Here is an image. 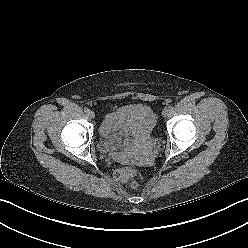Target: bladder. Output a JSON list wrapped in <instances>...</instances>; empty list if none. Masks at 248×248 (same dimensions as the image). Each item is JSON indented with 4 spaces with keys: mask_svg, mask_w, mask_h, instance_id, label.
I'll use <instances>...</instances> for the list:
<instances>
[{
    "mask_svg": "<svg viewBox=\"0 0 248 248\" xmlns=\"http://www.w3.org/2000/svg\"><path fill=\"white\" fill-rule=\"evenodd\" d=\"M115 114L119 122L118 126L127 132V137L125 139H118L101 135L99 145L102 150L114 152L130 144L133 140L153 136L157 119L156 114L149 106L138 104L126 105L119 108Z\"/></svg>",
    "mask_w": 248,
    "mask_h": 248,
    "instance_id": "1",
    "label": "bladder"
}]
</instances>
